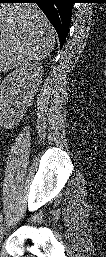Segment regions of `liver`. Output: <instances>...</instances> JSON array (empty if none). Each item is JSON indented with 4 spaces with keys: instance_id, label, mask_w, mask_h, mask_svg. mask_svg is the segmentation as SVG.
<instances>
[{
    "instance_id": "obj_1",
    "label": "liver",
    "mask_w": 106,
    "mask_h": 257,
    "mask_svg": "<svg viewBox=\"0 0 106 257\" xmlns=\"http://www.w3.org/2000/svg\"><path fill=\"white\" fill-rule=\"evenodd\" d=\"M55 45V31L34 3L0 5V71L44 59Z\"/></svg>"
}]
</instances>
